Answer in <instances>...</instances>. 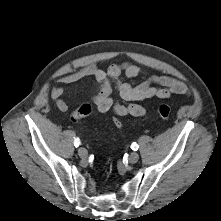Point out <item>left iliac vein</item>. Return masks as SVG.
Returning <instances> with one entry per match:
<instances>
[{
	"mask_svg": "<svg viewBox=\"0 0 221 221\" xmlns=\"http://www.w3.org/2000/svg\"><path fill=\"white\" fill-rule=\"evenodd\" d=\"M139 160V154L137 152H133L130 154L129 156V162L131 164H134L136 163L137 161Z\"/></svg>",
	"mask_w": 221,
	"mask_h": 221,
	"instance_id": "left-iliac-vein-1",
	"label": "left iliac vein"
}]
</instances>
